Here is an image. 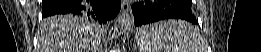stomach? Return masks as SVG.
<instances>
[{
  "label": "stomach",
  "instance_id": "1",
  "mask_svg": "<svg viewBox=\"0 0 261 52\" xmlns=\"http://www.w3.org/2000/svg\"><path fill=\"white\" fill-rule=\"evenodd\" d=\"M139 32H140V30H139ZM139 32L137 33V36H136L137 41H138V39H139V36H138Z\"/></svg>",
  "mask_w": 261,
  "mask_h": 52
}]
</instances>
